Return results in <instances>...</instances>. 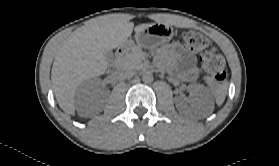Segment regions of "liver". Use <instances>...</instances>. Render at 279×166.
<instances>
[{
  "label": "liver",
  "instance_id": "6515ba94",
  "mask_svg": "<svg viewBox=\"0 0 279 166\" xmlns=\"http://www.w3.org/2000/svg\"><path fill=\"white\" fill-rule=\"evenodd\" d=\"M153 23L134 27L123 14H112L93 20L75 30L58 49L51 71L56 100L67 114H75L74 96L85 80L106 72L104 53L124 44L131 36Z\"/></svg>",
  "mask_w": 279,
  "mask_h": 166
}]
</instances>
